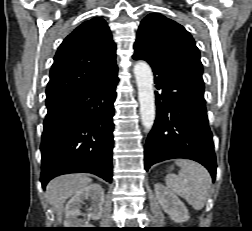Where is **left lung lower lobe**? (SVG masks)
<instances>
[{
    "label": "left lung lower lobe",
    "mask_w": 252,
    "mask_h": 231,
    "mask_svg": "<svg viewBox=\"0 0 252 231\" xmlns=\"http://www.w3.org/2000/svg\"><path fill=\"white\" fill-rule=\"evenodd\" d=\"M149 64L155 75L157 116L144 149L145 170L164 160L185 158L205 166L215 180L217 164L202 73L181 64Z\"/></svg>",
    "instance_id": "obj_1"
}]
</instances>
